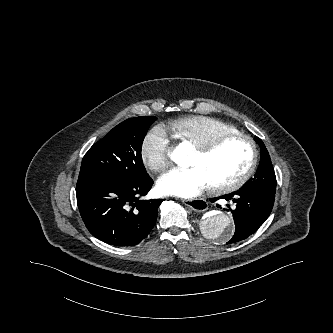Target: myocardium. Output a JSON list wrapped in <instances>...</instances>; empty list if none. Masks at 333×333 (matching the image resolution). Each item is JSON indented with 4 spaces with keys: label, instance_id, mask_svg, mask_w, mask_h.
Segmentation results:
<instances>
[{
    "label": "myocardium",
    "instance_id": "f54148a6",
    "mask_svg": "<svg viewBox=\"0 0 333 333\" xmlns=\"http://www.w3.org/2000/svg\"><path fill=\"white\" fill-rule=\"evenodd\" d=\"M231 140H242L247 142L251 147V160L247 169L238 177L233 180L215 183L211 185V188L217 192H228L238 189L244 185L253 175L256 170L259 158L258 147L254 139L246 134L242 133H228L221 134L211 138L208 141L195 145V149L202 155H209L214 152L223 143Z\"/></svg>",
    "mask_w": 333,
    "mask_h": 333
}]
</instances>
